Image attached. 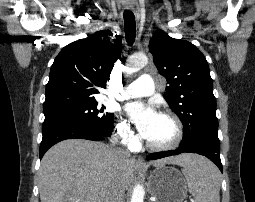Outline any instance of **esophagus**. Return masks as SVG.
Segmentation results:
<instances>
[{"mask_svg":"<svg viewBox=\"0 0 255 202\" xmlns=\"http://www.w3.org/2000/svg\"><path fill=\"white\" fill-rule=\"evenodd\" d=\"M136 165L138 168H145V164H144L143 158L141 156H138L136 158Z\"/></svg>","mask_w":255,"mask_h":202,"instance_id":"esophagus-1","label":"esophagus"}]
</instances>
